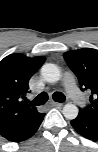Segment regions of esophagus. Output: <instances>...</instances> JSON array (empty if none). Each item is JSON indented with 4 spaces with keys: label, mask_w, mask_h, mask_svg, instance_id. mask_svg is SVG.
I'll use <instances>...</instances> for the list:
<instances>
[{
    "label": "esophagus",
    "mask_w": 98,
    "mask_h": 152,
    "mask_svg": "<svg viewBox=\"0 0 98 152\" xmlns=\"http://www.w3.org/2000/svg\"><path fill=\"white\" fill-rule=\"evenodd\" d=\"M49 105H50L51 107H57V108H60V107L63 106L62 103H58V102H54V101H50V102H49Z\"/></svg>",
    "instance_id": "34e87169"
}]
</instances>
